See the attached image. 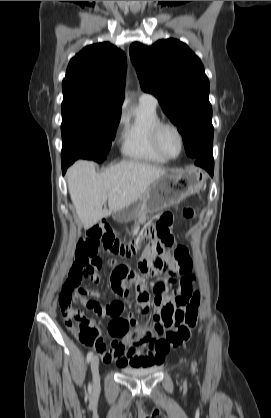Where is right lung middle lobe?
<instances>
[{
    "instance_id": "dd1d6c3e",
    "label": "right lung middle lobe",
    "mask_w": 271,
    "mask_h": 418,
    "mask_svg": "<svg viewBox=\"0 0 271 418\" xmlns=\"http://www.w3.org/2000/svg\"><path fill=\"white\" fill-rule=\"evenodd\" d=\"M120 111L84 103L62 104V159L104 161L115 138Z\"/></svg>"
}]
</instances>
